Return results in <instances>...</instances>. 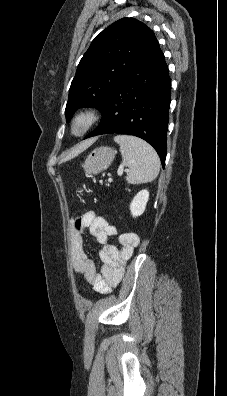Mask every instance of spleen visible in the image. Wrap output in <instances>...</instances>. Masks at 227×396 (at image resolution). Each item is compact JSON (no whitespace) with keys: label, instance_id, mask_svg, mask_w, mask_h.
Listing matches in <instances>:
<instances>
[{"label":"spleen","instance_id":"3e777b00","mask_svg":"<svg viewBox=\"0 0 227 396\" xmlns=\"http://www.w3.org/2000/svg\"><path fill=\"white\" fill-rule=\"evenodd\" d=\"M114 141L120 146L123 164L129 167L128 183H148L158 176L160 159L150 144L129 135H118Z\"/></svg>","mask_w":227,"mask_h":396}]
</instances>
